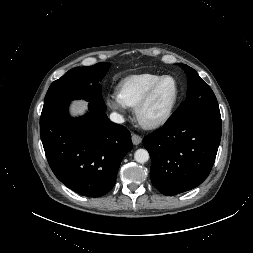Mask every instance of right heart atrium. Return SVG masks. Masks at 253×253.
I'll return each instance as SVG.
<instances>
[{
	"mask_svg": "<svg viewBox=\"0 0 253 253\" xmlns=\"http://www.w3.org/2000/svg\"><path fill=\"white\" fill-rule=\"evenodd\" d=\"M107 104L110 108L114 111L118 112L119 114L123 115L126 112V106L123 105L117 97L109 96L107 98Z\"/></svg>",
	"mask_w": 253,
	"mask_h": 253,
	"instance_id": "1",
	"label": "right heart atrium"
}]
</instances>
